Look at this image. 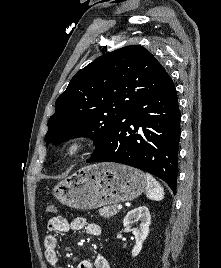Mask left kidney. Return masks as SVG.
Listing matches in <instances>:
<instances>
[{
    "instance_id": "1",
    "label": "left kidney",
    "mask_w": 221,
    "mask_h": 268,
    "mask_svg": "<svg viewBox=\"0 0 221 268\" xmlns=\"http://www.w3.org/2000/svg\"><path fill=\"white\" fill-rule=\"evenodd\" d=\"M138 221H140V225L136 230L133 231V235L136 240V244L132 249L133 257L137 256L140 253L143 242L149 234L151 216L149 209L146 206H140L129 211L123 220V225L125 228L129 229L132 223Z\"/></svg>"
}]
</instances>
